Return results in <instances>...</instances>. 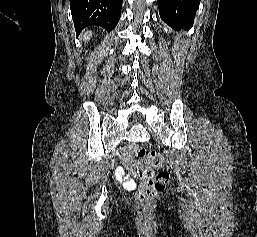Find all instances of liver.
I'll return each instance as SVG.
<instances>
[{
  "label": "liver",
  "mask_w": 257,
  "mask_h": 237,
  "mask_svg": "<svg viewBox=\"0 0 257 237\" xmlns=\"http://www.w3.org/2000/svg\"><path fill=\"white\" fill-rule=\"evenodd\" d=\"M91 36H92V32L91 31H87V32L84 33L82 39H83V41L87 42V41H89Z\"/></svg>",
  "instance_id": "6515ba94"
}]
</instances>
